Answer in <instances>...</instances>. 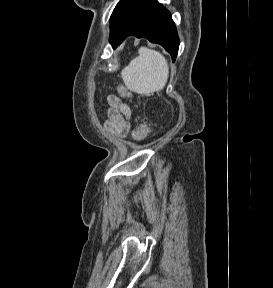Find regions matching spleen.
I'll use <instances>...</instances> for the list:
<instances>
[{"label":"spleen","instance_id":"3e777b00","mask_svg":"<svg viewBox=\"0 0 273 288\" xmlns=\"http://www.w3.org/2000/svg\"><path fill=\"white\" fill-rule=\"evenodd\" d=\"M138 52L139 56L121 72L126 87L138 94L161 91L169 76V66L165 57L147 47H141Z\"/></svg>","mask_w":273,"mask_h":288}]
</instances>
